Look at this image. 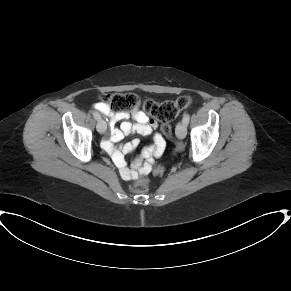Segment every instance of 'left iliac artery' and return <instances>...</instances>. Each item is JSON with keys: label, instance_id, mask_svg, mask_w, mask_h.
<instances>
[{"label": "left iliac artery", "instance_id": "obj_1", "mask_svg": "<svg viewBox=\"0 0 291 291\" xmlns=\"http://www.w3.org/2000/svg\"><path fill=\"white\" fill-rule=\"evenodd\" d=\"M189 119H190V116L188 113H186L184 114L182 122L187 126V124L189 123Z\"/></svg>", "mask_w": 291, "mask_h": 291}]
</instances>
